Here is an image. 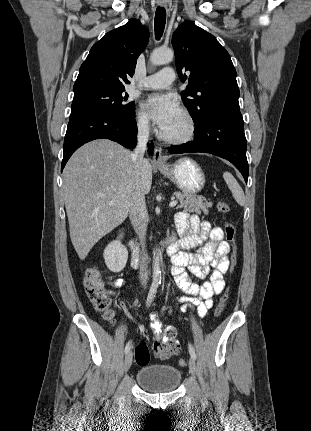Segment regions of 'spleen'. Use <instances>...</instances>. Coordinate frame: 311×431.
<instances>
[{"instance_id":"spleen-1","label":"spleen","mask_w":311,"mask_h":431,"mask_svg":"<svg viewBox=\"0 0 311 431\" xmlns=\"http://www.w3.org/2000/svg\"><path fill=\"white\" fill-rule=\"evenodd\" d=\"M223 178L229 188L232 192L233 198H235L237 204L239 206H245V196L242 188H240L237 180H235L234 176L232 174H229V172H224Z\"/></svg>"}]
</instances>
